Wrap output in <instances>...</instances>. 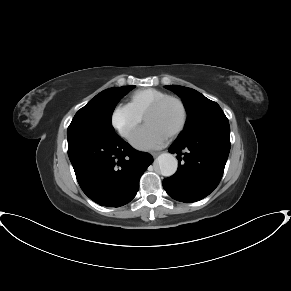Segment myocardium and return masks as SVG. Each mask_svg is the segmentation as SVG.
Returning <instances> with one entry per match:
<instances>
[{
    "label": "myocardium",
    "mask_w": 291,
    "mask_h": 291,
    "mask_svg": "<svg viewBox=\"0 0 291 291\" xmlns=\"http://www.w3.org/2000/svg\"><path fill=\"white\" fill-rule=\"evenodd\" d=\"M169 101H174L178 104L180 110H181V120L180 123L178 124V126L168 135L169 137H175L177 135H179L186 127L187 122H188V111L186 108L185 103L183 102L182 99H180L179 97L176 96H171V95H167L164 96L158 100H156L155 102H153L144 112L143 114V121L145 122L147 116H149L150 114L158 111L161 107H163L167 102Z\"/></svg>",
    "instance_id": "obj_1"
}]
</instances>
